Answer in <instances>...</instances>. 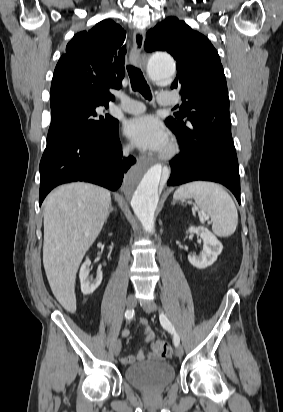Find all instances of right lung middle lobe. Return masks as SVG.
<instances>
[{"mask_svg": "<svg viewBox=\"0 0 283 412\" xmlns=\"http://www.w3.org/2000/svg\"><path fill=\"white\" fill-rule=\"evenodd\" d=\"M96 103H77L60 115H51L47 143L59 135H70L80 131L101 135L118 124V120L102 112Z\"/></svg>", "mask_w": 283, "mask_h": 412, "instance_id": "1", "label": "right lung middle lobe"}]
</instances>
